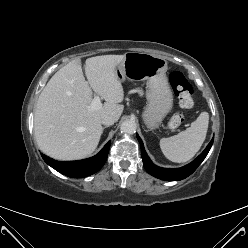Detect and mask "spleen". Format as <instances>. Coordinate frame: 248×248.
<instances>
[{"instance_id": "1", "label": "spleen", "mask_w": 248, "mask_h": 248, "mask_svg": "<svg viewBox=\"0 0 248 248\" xmlns=\"http://www.w3.org/2000/svg\"><path fill=\"white\" fill-rule=\"evenodd\" d=\"M209 114L202 112L191 126L177 135L160 140V148L172 162H187L195 156L205 141Z\"/></svg>"}]
</instances>
